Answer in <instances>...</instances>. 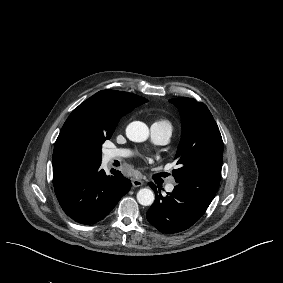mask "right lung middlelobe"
I'll return each mask as SVG.
<instances>
[{
  "label": "right lung middle lobe",
  "instance_id": "dd1d6c3e",
  "mask_svg": "<svg viewBox=\"0 0 283 283\" xmlns=\"http://www.w3.org/2000/svg\"><path fill=\"white\" fill-rule=\"evenodd\" d=\"M106 140H107V138H105V137H102V138L99 139V141H98L99 150H101V146Z\"/></svg>",
  "mask_w": 283,
  "mask_h": 283
}]
</instances>
